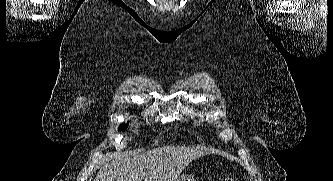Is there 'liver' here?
Listing matches in <instances>:
<instances>
[{
    "label": "liver",
    "mask_w": 333,
    "mask_h": 181,
    "mask_svg": "<svg viewBox=\"0 0 333 181\" xmlns=\"http://www.w3.org/2000/svg\"><path fill=\"white\" fill-rule=\"evenodd\" d=\"M205 154L200 147L184 146H163L132 156L109 154L94 181H175L186 166Z\"/></svg>",
    "instance_id": "6515ba94"
}]
</instances>
